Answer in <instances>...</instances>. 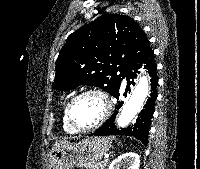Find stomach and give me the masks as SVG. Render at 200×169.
<instances>
[{"label": "stomach", "mask_w": 200, "mask_h": 169, "mask_svg": "<svg viewBox=\"0 0 200 169\" xmlns=\"http://www.w3.org/2000/svg\"><path fill=\"white\" fill-rule=\"evenodd\" d=\"M111 147L106 137L87 138L72 145L52 150L51 169H74L75 166H90L102 159Z\"/></svg>", "instance_id": "obj_1"}]
</instances>
